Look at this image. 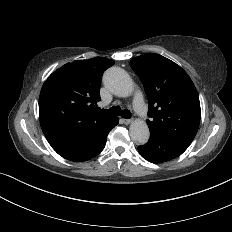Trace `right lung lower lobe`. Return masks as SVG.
<instances>
[{
    "instance_id": "98d812e1",
    "label": "right lung lower lobe",
    "mask_w": 232,
    "mask_h": 232,
    "mask_svg": "<svg viewBox=\"0 0 232 232\" xmlns=\"http://www.w3.org/2000/svg\"><path fill=\"white\" fill-rule=\"evenodd\" d=\"M118 124V118L112 117L105 123L70 135H48L51 147L65 159L82 162L98 155L104 148L107 135Z\"/></svg>"
}]
</instances>
